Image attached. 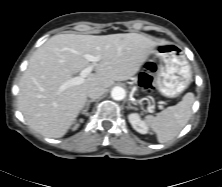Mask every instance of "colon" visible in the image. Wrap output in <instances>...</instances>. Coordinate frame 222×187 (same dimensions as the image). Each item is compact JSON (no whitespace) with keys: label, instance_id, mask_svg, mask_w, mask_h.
<instances>
[{"label":"colon","instance_id":"5ec220e1","mask_svg":"<svg viewBox=\"0 0 222 187\" xmlns=\"http://www.w3.org/2000/svg\"><path fill=\"white\" fill-rule=\"evenodd\" d=\"M155 68L148 66L146 68V71L143 73L142 79H141V84L145 89H151L152 87V83H151V78L153 76V74L155 73Z\"/></svg>","mask_w":222,"mask_h":187}]
</instances>
